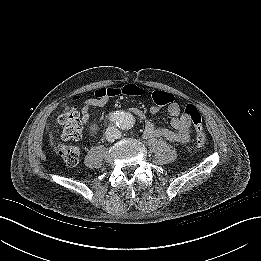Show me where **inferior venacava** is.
<instances>
[{
	"label": "inferior vena cava",
	"mask_w": 261,
	"mask_h": 261,
	"mask_svg": "<svg viewBox=\"0 0 261 261\" xmlns=\"http://www.w3.org/2000/svg\"><path fill=\"white\" fill-rule=\"evenodd\" d=\"M106 139L109 142H114L116 139H119L121 134L120 131L114 127V126H109L105 132Z\"/></svg>",
	"instance_id": "602c4592"
}]
</instances>
